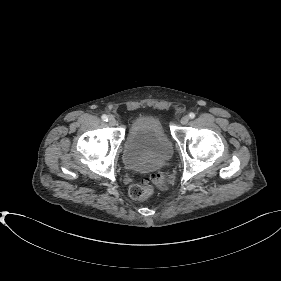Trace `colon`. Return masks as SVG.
Returning <instances> with one entry per match:
<instances>
[{
  "instance_id": "1",
  "label": "colon",
  "mask_w": 281,
  "mask_h": 281,
  "mask_svg": "<svg viewBox=\"0 0 281 281\" xmlns=\"http://www.w3.org/2000/svg\"><path fill=\"white\" fill-rule=\"evenodd\" d=\"M165 177L162 173L153 175L150 179L144 181L143 184H136L130 187L129 196L134 201H141L151 194L154 187H162Z\"/></svg>"
}]
</instances>
